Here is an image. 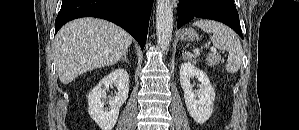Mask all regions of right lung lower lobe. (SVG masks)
<instances>
[{
	"label": "right lung lower lobe",
	"instance_id": "98d812e1",
	"mask_svg": "<svg viewBox=\"0 0 299 130\" xmlns=\"http://www.w3.org/2000/svg\"><path fill=\"white\" fill-rule=\"evenodd\" d=\"M153 0H62L55 33L68 21L81 17L109 20L129 32L143 49Z\"/></svg>",
	"mask_w": 299,
	"mask_h": 130
}]
</instances>
